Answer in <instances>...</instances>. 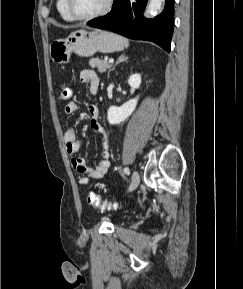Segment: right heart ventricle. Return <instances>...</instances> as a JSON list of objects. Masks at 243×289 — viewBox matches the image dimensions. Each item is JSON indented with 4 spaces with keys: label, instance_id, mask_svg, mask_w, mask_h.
Returning <instances> with one entry per match:
<instances>
[{
    "label": "right heart ventricle",
    "instance_id": "e07e8e85",
    "mask_svg": "<svg viewBox=\"0 0 243 289\" xmlns=\"http://www.w3.org/2000/svg\"><path fill=\"white\" fill-rule=\"evenodd\" d=\"M56 7L61 18L65 21L72 22L74 19L69 15L66 8V0H57Z\"/></svg>",
    "mask_w": 243,
    "mask_h": 289
}]
</instances>
